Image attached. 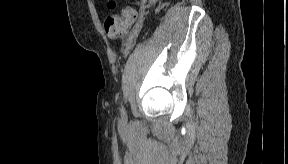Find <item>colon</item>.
Here are the masks:
<instances>
[{"label": "colon", "instance_id": "5ec220e1", "mask_svg": "<svg viewBox=\"0 0 288 164\" xmlns=\"http://www.w3.org/2000/svg\"><path fill=\"white\" fill-rule=\"evenodd\" d=\"M136 15L137 13L134 8L126 6L118 14L107 16L103 22L106 36L109 39L124 37L131 28Z\"/></svg>", "mask_w": 288, "mask_h": 164}]
</instances>
